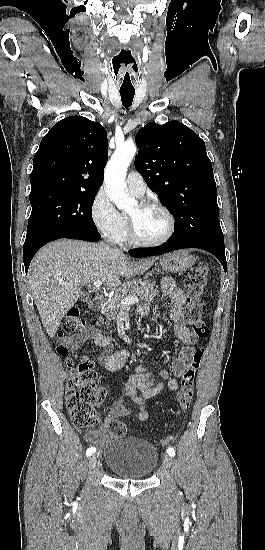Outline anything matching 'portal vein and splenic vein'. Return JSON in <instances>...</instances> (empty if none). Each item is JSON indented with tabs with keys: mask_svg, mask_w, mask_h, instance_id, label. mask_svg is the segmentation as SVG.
<instances>
[{
	"mask_svg": "<svg viewBox=\"0 0 265 550\" xmlns=\"http://www.w3.org/2000/svg\"><path fill=\"white\" fill-rule=\"evenodd\" d=\"M102 285V281L101 280H97L93 283V288L95 290H100V287ZM139 302V298L136 297V296H130V297H126L124 299L121 300L120 304L122 307H128L134 303H138Z\"/></svg>",
	"mask_w": 265,
	"mask_h": 550,
	"instance_id": "18ae733b",
	"label": "portal vein and splenic vein"
}]
</instances>
